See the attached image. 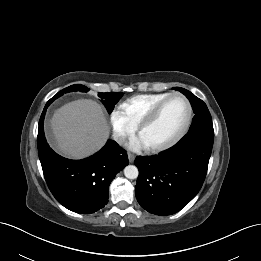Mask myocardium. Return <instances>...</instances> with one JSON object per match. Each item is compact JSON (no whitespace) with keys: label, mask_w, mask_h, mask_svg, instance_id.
<instances>
[{"label":"myocardium","mask_w":261,"mask_h":261,"mask_svg":"<svg viewBox=\"0 0 261 261\" xmlns=\"http://www.w3.org/2000/svg\"><path fill=\"white\" fill-rule=\"evenodd\" d=\"M175 97H178V98L182 99L183 102L186 105V108H187V116H186V120H185V123H184L183 127L178 132V134L176 136H174L171 140H169V141H167L165 143H162V144H158V145L146 146L147 150L152 151V152H159V151L167 150V149L173 147L174 145H176L187 134V132H188L190 126H191V123H192L193 109H192V105H191L190 101L188 100V98L184 94H182L180 92L170 93L164 99L159 101L150 110V112L144 117V119L138 124V126H137V134L140 135V133L146 127L151 125L155 121L157 116L159 115V113L162 110V108L164 107V105L169 100H171L172 98H175Z\"/></svg>","instance_id":"f54148a6"}]
</instances>
